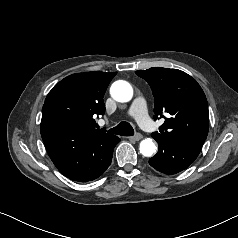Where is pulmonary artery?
<instances>
[{
	"label": "pulmonary artery",
	"mask_w": 238,
	"mask_h": 238,
	"mask_svg": "<svg viewBox=\"0 0 238 238\" xmlns=\"http://www.w3.org/2000/svg\"><path fill=\"white\" fill-rule=\"evenodd\" d=\"M129 115L133 117L139 125L147 132L156 130L155 123L148 115L146 101L143 97H136L129 109Z\"/></svg>",
	"instance_id": "1"
}]
</instances>
